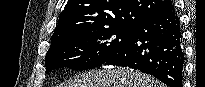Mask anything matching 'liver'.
Here are the masks:
<instances>
[{
	"label": "liver",
	"mask_w": 205,
	"mask_h": 87,
	"mask_svg": "<svg viewBox=\"0 0 205 87\" xmlns=\"http://www.w3.org/2000/svg\"><path fill=\"white\" fill-rule=\"evenodd\" d=\"M64 87H163L153 77L122 67H109L77 75Z\"/></svg>",
	"instance_id": "1"
}]
</instances>
